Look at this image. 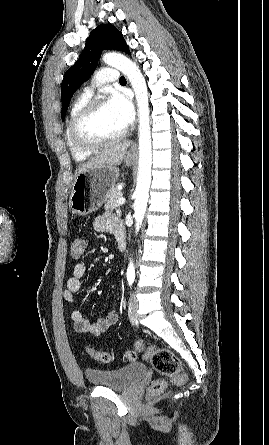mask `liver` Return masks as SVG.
<instances>
[{
  "label": "liver",
  "mask_w": 269,
  "mask_h": 445,
  "mask_svg": "<svg viewBox=\"0 0 269 445\" xmlns=\"http://www.w3.org/2000/svg\"><path fill=\"white\" fill-rule=\"evenodd\" d=\"M129 146L130 142L125 141L123 143L116 144L114 146L106 148L105 150L94 156L88 162L81 164L76 169L75 176H77L81 172L97 167L120 165L125 157V153Z\"/></svg>",
  "instance_id": "1"
}]
</instances>
